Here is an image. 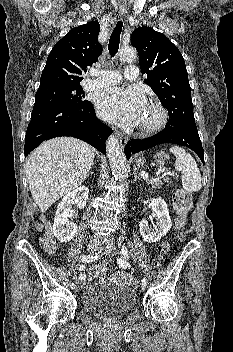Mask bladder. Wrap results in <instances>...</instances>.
Masks as SVG:
<instances>
[{
    "mask_svg": "<svg viewBox=\"0 0 233 352\" xmlns=\"http://www.w3.org/2000/svg\"><path fill=\"white\" fill-rule=\"evenodd\" d=\"M136 302V294L131 288L110 281L90 285L82 298L86 311L108 316L124 315L136 306Z\"/></svg>",
    "mask_w": 233,
    "mask_h": 352,
    "instance_id": "1",
    "label": "bladder"
}]
</instances>
